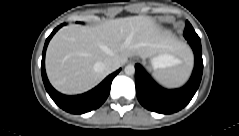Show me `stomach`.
I'll use <instances>...</instances> for the list:
<instances>
[{"instance_id": "stomach-1", "label": "stomach", "mask_w": 239, "mask_h": 136, "mask_svg": "<svg viewBox=\"0 0 239 136\" xmlns=\"http://www.w3.org/2000/svg\"><path fill=\"white\" fill-rule=\"evenodd\" d=\"M178 62L179 60L177 58L166 52L159 53L151 58V63L154 68H167Z\"/></svg>"}]
</instances>
